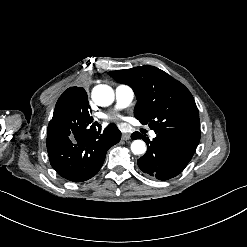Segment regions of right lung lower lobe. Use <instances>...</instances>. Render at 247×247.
<instances>
[{"label": "right lung lower lobe", "instance_id": "98d812e1", "mask_svg": "<svg viewBox=\"0 0 247 247\" xmlns=\"http://www.w3.org/2000/svg\"><path fill=\"white\" fill-rule=\"evenodd\" d=\"M120 139L121 132L115 124L101 131L90 115L79 118L63 136L47 135L50 164L69 181H86L98 173L107 150Z\"/></svg>", "mask_w": 247, "mask_h": 247}]
</instances>
